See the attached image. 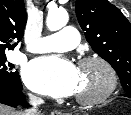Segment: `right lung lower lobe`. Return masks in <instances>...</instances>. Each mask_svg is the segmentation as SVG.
<instances>
[{
	"label": "right lung lower lobe",
	"instance_id": "98d812e1",
	"mask_svg": "<svg viewBox=\"0 0 131 115\" xmlns=\"http://www.w3.org/2000/svg\"><path fill=\"white\" fill-rule=\"evenodd\" d=\"M22 84L19 79L14 85L8 88H0V103L16 107L24 104L25 98L22 94Z\"/></svg>",
	"mask_w": 131,
	"mask_h": 115
}]
</instances>
